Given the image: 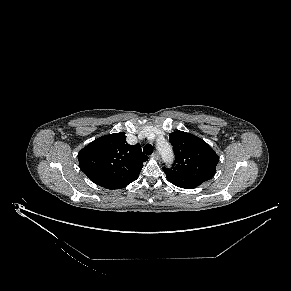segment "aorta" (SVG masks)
I'll list each match as a JSON object with an SVG mask.
<instances>
[{"label":"aorta","instance_id":"762f6f07","mask_svg":"<svg viewBox=\"0 0 291 291\" xmlns=\"http://www.w3.org/2000/svg\"><path fill=\"white\" fill-rule=\"evenodd\" d=\"M157 150L166 163H171L173 160V151L171 145L168 142L163 141L161 143H157Z\"/></svg>","mask_w":291,"mask_h":291}]
</instances>
